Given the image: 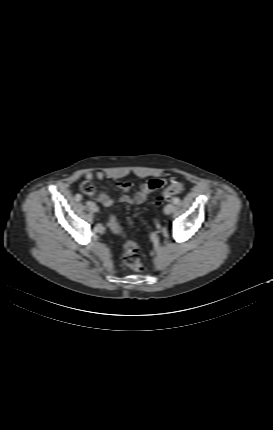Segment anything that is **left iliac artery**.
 Here are the masks:
<instances>
[{
    "mask_svg": "<svg viewBox=\"0 0 273 430\" xmlns=\"http://www.w3.org/2000/svg\"><path fill=\"white\" fill-rule=\"evenodd\" d=\"M179 201H180V200H179L178 198H173L172 203H173V204H178V203H179Z\"/></svg>",
    "mask_w": 273,
    "mask_h": 430,
    "instance_id": "left-iliac-artery-1",
    "label": "left iliac artery"
}]
</instances>
